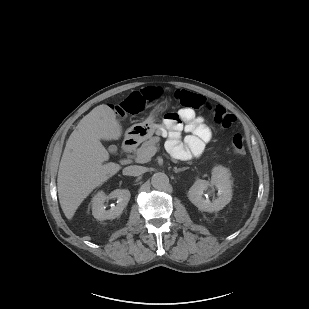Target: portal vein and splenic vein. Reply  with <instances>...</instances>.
<instances>
[{"label":"portal vein and splenic vein","instance_id":"18ae733b","mask_svg":"<svg viewBox=\"0 0 309 309\" xmlns=\"http://www.w3.org/2000/svg\"><path fill=\"white\" fill-rule=\"evenodd\" d=\"M156 151H157V148H155V147H154V148H150V149L147 151L146 155H147L149 158H151L152 156L155 155Z\"/></svg>","mask_w":309,"mask_h":309}]
</instances>
